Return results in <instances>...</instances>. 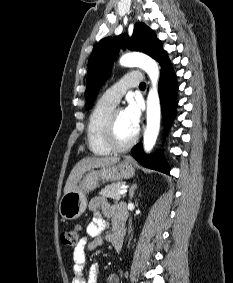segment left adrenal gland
Returning a JSON list of instances; mask_svg holds the SVG:
<instances>
[{
    "instance_id": "1",
    "label": "left adrenal gland",
    "mask_w": 233,
    "mask_h": 283,
    "mask_svg": "<svg viewBox=\"0 0 233 283\" xmlns=\"http://www.w3.org/2000/svg\"><path fill=\"white\" fill-rule=\"evenodd\" d=\"M135 189H136V184H134V185L130 188V192H129L130 199L133 198Z\"/></svg>"
}]
</instances>
